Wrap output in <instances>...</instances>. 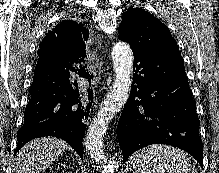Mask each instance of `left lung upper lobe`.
<instances>
[{"label":"left lung upper lobe","instance_id":"left-lung-upper-lobe-1","mask_svg":"<svg viewBox=\"0 0 219 173\" xmlns=\"http://www.w3.org/2000/svg\"><path fill=\"white\" fill-rule=\"evenodd\" d=\"M119 39L129 43L132 51L182 58L168 27L141 8H131L125 13L119 26Z\"/></svg>","mask_w":219,"mask_h":173}]
</instances>
